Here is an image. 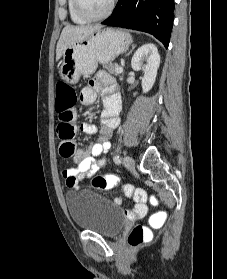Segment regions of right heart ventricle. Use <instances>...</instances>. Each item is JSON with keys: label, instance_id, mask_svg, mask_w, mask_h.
<instances>
[{"label": "right heart ventricle", "instance_id": "1", "mask_svg": "<svg viewBox=\"0 0 227 279\" xmlns=\"http://www.w3.org/2000/svg\"><path fill=\"white\" fill-rule=\"evenodd\" d=\"M67 9L69 13V17L71 21L75 24H86L87 21L84 20L82 17H80L74 7V1L73 0H67Z\"/></svg>", "mask_w": 227, "mask_h": 279}]
</instances>
